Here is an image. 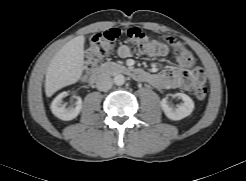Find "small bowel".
Here are the masks:
<instances>
[{"instance_id": "c3829d8e", "label": "small bowel", "mask_w": 246, "mask_h": 181, "mask_svg": "<svg viewBox=\"0 0 246 181\" xmlns=\"http://www.w3.org/2000/svg\"><path fill=\"white\" fill-rule=\"evenodd\" d=\"M180 51L174 53L177 66L164 69L158 73L145 72L143 79L147 84L158 89L181 88L187 91L205 82V74L196 67L193 55L178 44ZM118 55L121 58H130L133 50L129 45H121L118 48Z\"/></svg>"}]
</instances>
